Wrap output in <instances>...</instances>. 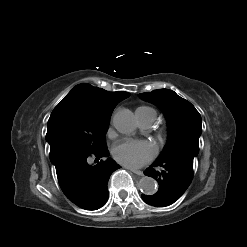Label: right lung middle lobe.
<instances>
[{
	"label": "right lung middle lobe",
	"mask_w": 247,
	"mask_h": 247,
	"mask_svg": "<svg viewBox=\"0 0 247 247\" xmlns=\"http://www.w3.org/2000/svg\"><path fill=\"white\" fill-rule=\"evenodd\" d=\"M111 114L93 113L80 99L65 97L52 111L46 140L52 145H66L88 153L106 149L105 133Z\"/></svg>",
	"instance_id": "obj_1"
}]
</instances>
